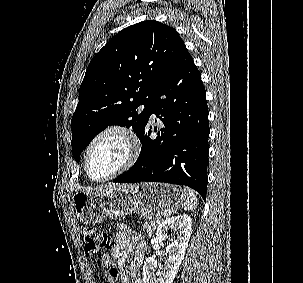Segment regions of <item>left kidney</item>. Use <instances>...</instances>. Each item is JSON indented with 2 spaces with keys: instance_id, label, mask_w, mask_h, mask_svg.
Listing matches in <instances>:
<instances>
[{
  "instance_id": "obj_1",
  "label": "left kidney",
  "mask_w": 303,
  "mask_h": 283,
  "mask_svg": "<svg viewBox=\"0 0 303 283\" xmlns=\"http://www.w3.org/2000/svg\"><path fill=\"white\" fill-rule=\"evenodd\" d=\"M169 230H173L175 235L166 247L168 256L164 269L158 270L155 275L153 271L157 266V260L147 258L143 266L144 283H172L179 270L191 236L192 220L190 216L180 215L163 221L157 228L153 249H160L163 241L168 238L167 233Z\"/></svg>"
}]
</instances>
